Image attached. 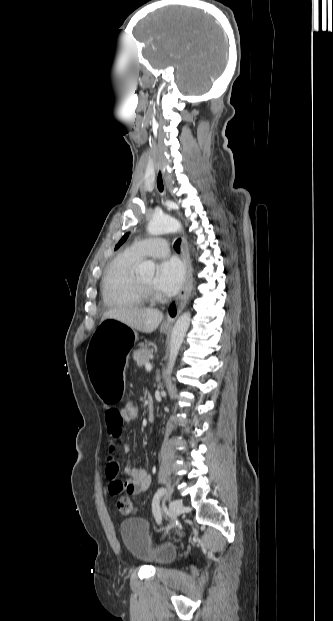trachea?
Masks as SVG:
<instances>
[{
  "mask_svg": "<svg viewBox=\"0 0 333 621\" xmlns=\"http://www.w3.org/2000/svg\"><path fill=\"white\" fill-rule=\"evenodd\" d=\"M180 244H181V239H178L175 241L174 243V249L179 252L180 251Z\"/></svg>",
  "mask_w": 333,
  "mask_h": 621,
  "instance_id": "3493384b",
  "label": "trachea"
}]
</instances>
